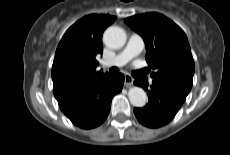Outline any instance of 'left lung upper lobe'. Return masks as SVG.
<instances>
[{
	"instance_id": "5c2ea615",
	"label": "left lung upper lobe",
	"mask_w": 230,
	"mask_h": 155,
	"mask_svg": "<svg viewBox=\"0 0 230 155\" xmlns=\"http://www.w3.org/2000/svg\"><path fill=\"white\" fill-rule=\"evenodd\" d=\"M145 42L146 61L153 81L188 95L192 87L194 60L186 34L172 20L159 13H145L125 19Z\"/></svg>"
}]
</instances>
